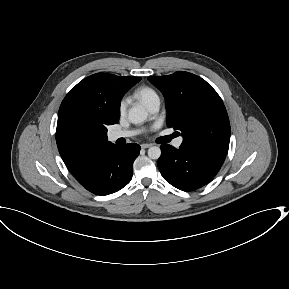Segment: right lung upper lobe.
<instances>
[{"mask_svg": "<svg viewBox=\"0 0 289 289\" xmlns=\"http://www.w3.org/2000/svg\"><path fill=\"white\" fill-rule=\"evenodd\" d=\"M141 78L96 73L73 87L61 103L56 142L72 175L97 154L114 146L107 139V126L119 120L124 93Z\"/></svg>", "mask_w": 289, "mask_h": 289, "instance_id": "cb5924a9", "label": "right lung upper lobe"}]
</instances>
